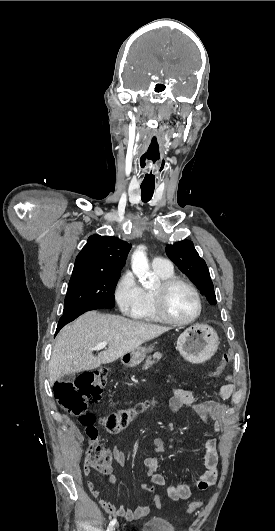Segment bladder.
Returning <instances> with one entry per match:
<instances>
[{
    "label": "bladder",
    "mask_w": 275,
    "mask_h": 531,
    "mask_svg": "<svg viewBox=\"0 0 275 531\" xmlns=\"http://www.w3.org/2000/svg\"><path fill=\"white\" fill-rule=\"evenodd\" d=\"M140 531H174V526L167 517L155 514L143 521Z\"/></svg>",
    "instance_id": "bladder-1"
}]
</instances>
